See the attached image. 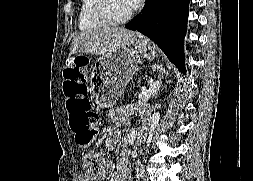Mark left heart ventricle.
<instances>
[{"instance_id": "obj_1", "label": "left heart ventricle", "mask_w": 253, "mask_h": 181, "mask_svg": "<svg viewBox=\"0 0 253 181\" xmlns=\"http://www.w3.org/2000/svg\"><path fill=\"white\" fill-rule=\"evenodd\" d=\"M107 6L109 14L115 19L122 18L131 11L126 0H108Z\"/></svg>"}]
</instances>
